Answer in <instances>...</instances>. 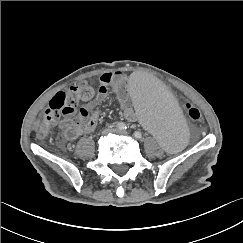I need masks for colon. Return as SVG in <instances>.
Returning <instances> with one entry per match:
<instances>
[{
	"mask_svg": "<svg viewBox=\"0 0 243 243\" xmlns=\"http://www.w3.org/2000/svg\"><path fill=\"white\" fill-rule=\"evenodd\" d=\"M95 96L93 87L86 83H80L67 91L57 93L50 101L45 112L42 123L37 128V134L40 137H45L56 123L61 114L75 113L79 103L89 101ZM189 119L197 124L203 122V117L198 108L185 103L182 106Z\"/></svg>",
	"mask_w": 243,
	"mask_h": 243,
	"instance_id": "obj_1",
	"label": "colon"
}]
</instances>
